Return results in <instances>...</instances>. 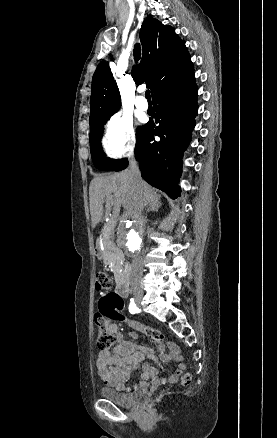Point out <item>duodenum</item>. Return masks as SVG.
Segmentation results:
<instances>
[{
    "instance_id": "1",
    "label": "duodenum",
    "mask_w": 277,
    "mask_h": 438,
    "mask_svg": "<svg viewBox=\"0 0 277 438\" xmlns=\"http://www.w3.org/2000/svg\"><path fill=\"white\" fill-rule=\"evenodd\" d=\"M94 252H95L96 257L100 258L102 256L100 242L95 243ZM127 272H128V266L125 267L124 273L121 276H119V278L117 280L116 292L120 296H126L128 294V291H129Z\"/></svg>"
}]
</instances>
